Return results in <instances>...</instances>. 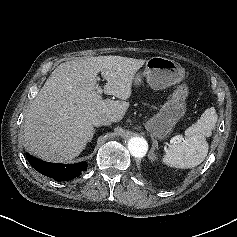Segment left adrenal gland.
<instances>
[{
  "instance_id": "a2214340",
  "label": "left adrenal gland",
  "mask_w": 237,
  "mask_h": 237,
  "mask_svg": "<svg viewBox=\"0 0 237 237\" xmlns=\"http://www.w3.org/2000/svg\"><path fill=\"white\" fill-rule=\"evenodd\" d=\"M152 140H153V144H152V149H151V151L149 152V159H151V160L153 161L154 158H155L154 150H155V148H156V146H157V142H156V140H154V139H152Z\"/></svg>"
}]
</instances>
